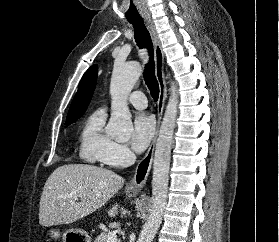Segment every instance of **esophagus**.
Here are the masks:
<instances>
[{
	"instance_id": "34e87169",
	"label": "esophagus",
	"mask_w": 279,
	"mask_h": 242,
	"mask_svg": "<svg viewBox=\"0 0 279 242\" xmlns=\"http://www.w3.org/2000/svg\"><path fill=\"white\" fill-rule=\"evenodd\" d=\"M145 23L150 32L153 41V46H154L155 75L159 84V99L157 104L158 119H157V129L154 138L145 156L138 163L133 179L127 185V190L131 192H140L147 182L151 170V166H152L154 148L158 136L162 113L167 98V87H166V82L164 77V54L162 51L160 40L156 32L154 23L152 21H146Z\"/></svg>"
}]
</instances>
